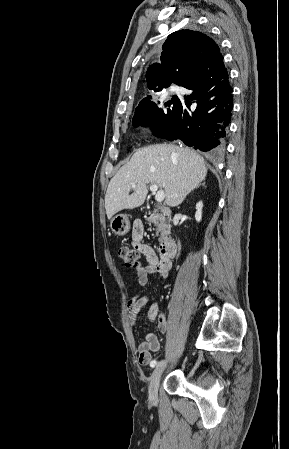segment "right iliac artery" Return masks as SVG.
<instances>
[{
  "label": "right iliac artery",
  "mask_w": 289,
  "mask_h": 449,
  "mask_svg": "<svg viewBox=\"0 0 289 449\" xmlns=\"http://www.w3.org/2000/svg\"><path fill=\"white\" fill-rule=\"evenodd\" d=\"M156 365H157V361L156 360L151 361V363H150L151 367H155Z\"/></svg>",
  "instance_id": "1"
}]
</instances>
